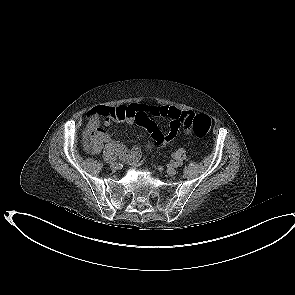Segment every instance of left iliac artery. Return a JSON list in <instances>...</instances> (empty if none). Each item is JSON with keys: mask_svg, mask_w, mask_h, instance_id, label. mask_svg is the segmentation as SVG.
I'll return each instance as SVG.
<instances>
[{"mask_svg": "<svg viewBox=\"0 0 295 295\" xmlns=\"http://www.w3.org/2000/svg\"><path fill=\"white\" fill-rule=\"evenodd\" d=\"M171 165L174 166V167H178L179 166V164L176 163V162H173Z\"/></svg>", "mask_w": 295, "mask_h": 295, "instance_id": "obj_1", "label": "left iliac artery"}]
</instances>
